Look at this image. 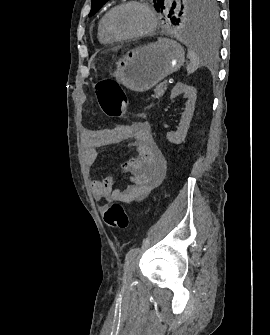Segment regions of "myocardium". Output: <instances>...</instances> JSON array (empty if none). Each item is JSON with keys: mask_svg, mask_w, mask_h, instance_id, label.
I'll use <instances>...</instances> for the list:
<instances>
[{"mask_svg": "<svg viewBox=\"0 0 270 335\" xmlns=\"http://www.w3.org/2000/svg\"><path fill=\"white\" fill-rule=\"evenodd\" d=\"M139 5L143 11L146 13V15L149 18V26L146 30L139 32V33H134V34H120L117 33L113 30L112 26H111V18L112 15L118 10L120 9L122 6L124 5ZM157 25V18L154 14V12L144 3L135 1V0H130V1H124L119 3L118 5H116L115 7H113L107 14L105 17V21H104V26H105V30L106 32L113 38L118 39V40H137V39H141L144 38L146 36H149L156 28ZM141 49L137 48L135 50H132L131 52H140Z\"/></svg>", "mask_w": 270, "mask_h": 335, "instance_id": "1", "label": "myocardium"}]
</instances>
